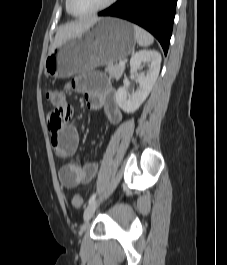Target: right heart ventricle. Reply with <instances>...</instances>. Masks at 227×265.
Returning <instances> with one entry per match:
<instances>
[{
    "label": "right heart ventricle",
    "mask_w": 227,
    "mask_h": 265,
    "mask_svg": "<svg viewBox=\"0 0 227 265\" xmlns=\"http://www.w3.org/2000/svg\"><path fill=\"white\" fill-rule=\"evenodd\" d=\"M66 10H67V12L69 13V11H68V9H67V6H66Z\"/></svg>",
    "instance_id": "right-heart-ventricle-1"
}]
</instances>
